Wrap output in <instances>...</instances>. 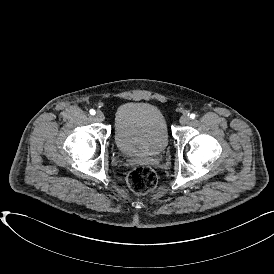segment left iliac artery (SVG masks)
<instances>
[{"label": "left iliac artery", "mask_w": 274, "mask_h": 274, "mask_svg": "<svg viewBox=\"0 0 274 274\" xmlns=\"http://www.w3.org/2000/svg\"><path fill=\"white\" fill-rule=\"evenodd\" d=\"M190 118H191V119H194V118H195V114H193V113L190 114Z\"/></svg>", "instance_id": "left-iliac-artery-1"}]
</instances>
